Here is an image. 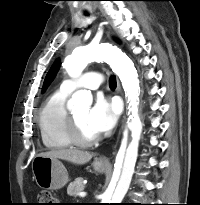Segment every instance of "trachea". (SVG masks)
I'll return each instance as SVG.
<instances>
[{
    "instance_id": "3493384b",
    "label": "trachea",
    "mask_w": 200,
    "mask_h": 205,
    "mask_svg": "<svg viewBox=\"0 0 200 205\" xmlns=\"http://www.w3.org/2000/svg\"><path fill=\"white\" fill-rule=\"evenodd\" d=\"M116 77L115 76H111L110 79H109V86L111 88H115L116 87Z\"/></svg>"
}]
</instances>
